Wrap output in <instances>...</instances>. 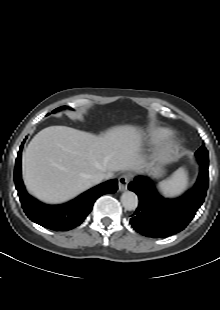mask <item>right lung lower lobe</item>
<instances>
[{
  "label": "right lung lower lobe",
  "mask_w": 220,
  "mask_h": 310,
  "mask_svg": "<svg viewBox=\"0 0 220 310\" xmlns=\"http://www.w3.org/2000/svg\"><path fill=\"white\" fill-rule=\"evenodd\" d=\"M16 159L14 180L24 212L33 222L55 231H67L80 225L92 210L96 199L103 194L114 193L118 189L116 179L102 183L62 205H45L25 190L21 178V152Z\"/></svg>",
  "instance_id": "right-lung-lower-lobe-1"
}]
</instances>
